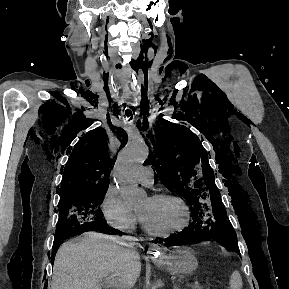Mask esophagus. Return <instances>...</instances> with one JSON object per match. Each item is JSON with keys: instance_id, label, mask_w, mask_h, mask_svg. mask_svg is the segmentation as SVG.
<instances>
[{"instance_id": "1", "label": "esophagus", "mask_w": 289, "mask_h": 289, "mask_svg": "<svg viewBox=\"0 0 289 289\" xmlns=\"http://www.w3.org/2000/svg\"><path fill=\"white\" fill-rule=\"evenodd\" d=\"M160 250L161 248L158 245L151 244L148 246L147 253L150 257L156 258Z\"/></svg>"}]
</instances>
